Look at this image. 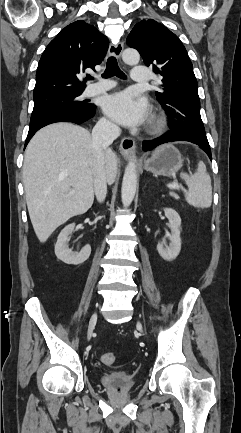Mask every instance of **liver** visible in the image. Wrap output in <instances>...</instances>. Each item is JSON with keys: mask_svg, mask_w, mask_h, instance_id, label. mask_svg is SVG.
I'll use <instances>...</instances> for the list:
<instances>
[{"mask_svg": "<svg viewBox=\"0 0 241 433\" xmlns=\"http://www.w3.org/2000/svg\"><path fill=\"white\" fill-rule=\"evenodd\" d=\"M92 136L83 127L54 123L29 142L23 163L26 203L36 236L45 243L70 218L84 214L94 201ZM118 159L104 151L106 180L112 184ZM75 191L70 194V188Z\"/></svg>", "mask_w": 241, "mask_h": 433, "instance_id": "1", "label": "liver"}]
</instances>
